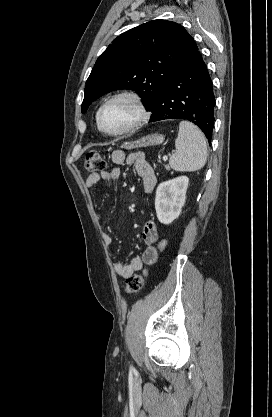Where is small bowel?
<instances>
[{"instance_id": "obj_1", "label": "small bowel", "mask_w": 272, "mask_h": 417, "mask_svg": "<svg viewBox=\"0 0 272 417\" xmlns=\"http://www.w3.org/2000/svg\"><path fill=\"white\" fill-rule=\"evenodd\" d=\"M111 157L112 161L116 165L133 164L138 176L142 180L144 191L146 193H151L153 191L156 186L157 179L153 168L147 162L143 154L136 153L127 156L123 151L117 150L112 153ZM120 174V169L117 167L101 173L93 172L87 177L86 186L92 189L101 180H117L120 177ZM142 237L148 246L142 257L135 256L132 257L129 262L113 263V269L119 277L127 279L135 272L140 271L144 265L152 264L155 261L158 254V252L154 249L155 242L158 239V227L155 221L150 220L145 224ZM102 238L106 246L109 247L113 244V238L111 235L103 233Z\"/></svg>"}]
</instances>
